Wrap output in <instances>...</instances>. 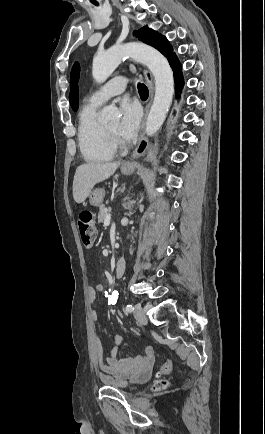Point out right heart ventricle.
<instances>
[{
    "label": "right heart ventricle",
    "instance_id": "right-heart-ventricle-1",
    "mask_svg": "<svg viewBox=\"0 0 265 434\" xmlns=\"http://www.w3.org/2000/svg\"><path fill=\"white\" fill-rule=\"evenodd\" d=\"M99 106L90 99L83 102L77 112L79 148L90 164L111 161L116 154L110 133L97 119Z\"/></svg>",
    "mask_w": 265,
    "mask_h": 434
}]
</instances>
